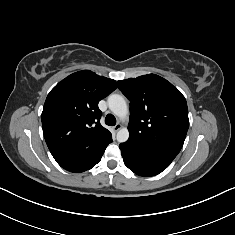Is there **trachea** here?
I'll list each match as a JSON object with an SVG mask.
<instances>
[{"label":"trachea","instance_id":"obj_1","mask_svg":"<svg viewBox=\"0 0 235 235\" xmlns=\"http://www.w3.org/2000/svg\"><path fill=\"white\" fill-rule=\"evenodd\" d=\"M105 123L109 126H114L116 124V118L112 114H108L105 118Z\"/></svg>","mask_w":235,"mask_h":235}]
</instances>
